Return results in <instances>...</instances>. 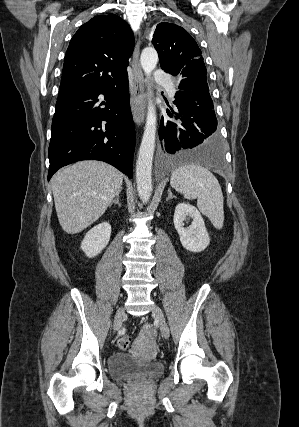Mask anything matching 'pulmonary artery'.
Masks as SVG:
<instances>
[{
  "instance_id": "1",
  "label": "pulmonary artery",
  "mask_w": 299,
  "mask_h": 427,
  "mask_svg": "<svg viewBox=\"0 0 299 427\" xmlns=\"http://www.w3.org/2000/svg\"><path fill=\"white\" fill-rule=\"evenodd\" d=\"M154 79L157 83L166 87L169 97L173 98L176 93V88L170 78L161 70L156 69L153 73Z\"/></svg>"
}]
</instances>
